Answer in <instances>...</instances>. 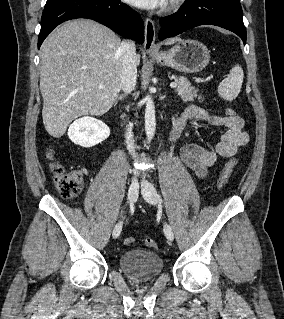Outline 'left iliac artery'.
<instances>
[{"label": "left iliac artery", "instance_id": "left-iliac-artery-1", "mask_svg": "<svg viewBox=\"0 0 284 319\" xmlns=\"http://www.w3.org/2000/svg\"><path fill=\"white\" fill-rule=\"evenodd\" d=\"M156 196H157V198H158L159 202L161 203V202H162L161 197H160L158 194H157Z\"/></svg>", "mask_w": 284, "mask_h": 319}]
</instances>
